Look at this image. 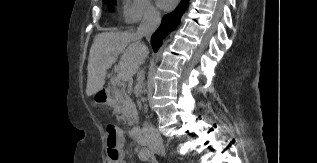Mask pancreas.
<instances>
[{
    "label": "pancreas",
    "instance_id": "pancreas-1",
    "mask_svg": "<svg viewBox=\"0 0 317 163\" xmlns=\"http://www.w3.org/2000/svg\"><path fill=\"white\" fill-rule=\"evenodd\" d=\"M112 107L117 119L124 121L129 126H133L138 122V112L136 106L130 97L116 86L112 87Z\"/></svg>",
    "mask_w": 317,
    "mask_h": 163
}]
</instances>
